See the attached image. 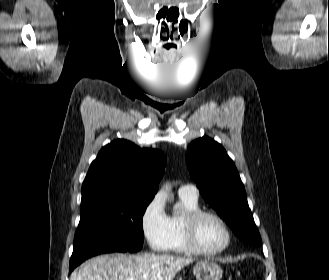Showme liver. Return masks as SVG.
Masks as SVG:
<instances>
[{"label":"liver","instance_id":"liver-1","mask_svg":"<svg viewBox=\"0 0 329 280\" xmlns=\"http://www.w3.org/2000/svg\"><path fill=\"white\" fill-rule=\"evenodd\" d=\"M193 262L190 257L171 255H101L83 263L70 280H173Z\"/></svg>","mask_w":329,"mask_h":280}]
</instances>
